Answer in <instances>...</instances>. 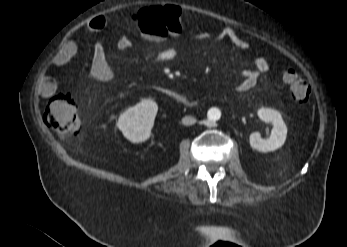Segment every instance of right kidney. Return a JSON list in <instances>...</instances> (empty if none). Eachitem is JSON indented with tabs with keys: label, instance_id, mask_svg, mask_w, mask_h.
Listing matches in <instances>:
<instances>
[{
	"label": "right kidney",
	"instance_id": "obj_1",
	"mask_svg": "<svg viewBox=\"0 0 347 247\" xmlns=\"http://www.w3.org/2000/svg\"><path fill=\"white\" fill-rule=\"evenodd\" d=\"M157 111L155 101L142 100L119 116L117 127L131 142H144L150 137Z\"/></svg>",
	"mask_w": 347,
	"mask_h": 247
}]
</instances>
